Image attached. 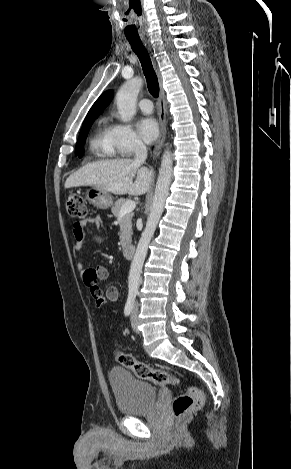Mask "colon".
<instances>
[{
	"mask_svg": "<svg viewBox=\"0 0 291 469\" xmlns=\"http://www.w3.org/2000/svg\"><path fill=\"white\" fill-rule=\"evenodd\" d=\"M69 216L73 218H84L87 208L84 199L78 194L69 195L66 203ZM93 303L98 311L106 306V301L101 296H95ZM115 360L123 367L131 370L134 375L143 380H149L158 386L177 385L178 378L160 369H153L144 362L137 361L133 355L115 350ZM204 404V395L196 387H189L184 393L177 396L172 404L173 413L176 417H182L187 413L200 408Z\"/></svg>",
	"mask_w": 291,
	"mask_h": 469,
	"instance_id": "colon-1",
	"label": "colon"
}]
</instances>
